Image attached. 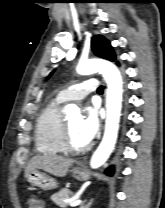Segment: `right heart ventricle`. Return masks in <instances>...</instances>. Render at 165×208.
I'll return each mask as SVG.
<instances>
[{
	"instance_id": "1",
	"label": "right heart ventricle",
	"mask_w": 165,
	"mask_h": 208,
	"mask_svg": "<svg viewBox=\"0 0 165 208\" xmlns=\"http://www.w3.org/2000/svg\"><path fill=\"white\" fill-rule=\"evenodd\" d=\"M63 124L61 102L51 100L36 120L35 145L38 152L47 155L66 153L62 147Z\"/></svg>"
}]
</instances>
